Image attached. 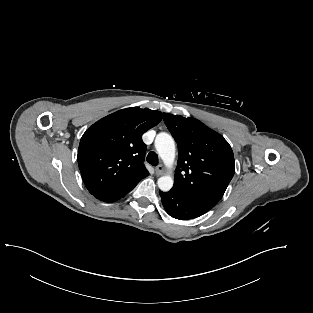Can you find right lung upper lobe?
Listing matches in <instances>:
<instances>
[{"label": "right lung upper lobe", "mask_w": 313, "mask_h": 313, "mask_svg": "<svg viewBox=\"0 0 313 313\" xmlns=\"http://www.w3.org/2000/svg\"><path fill=\"white\" fill-rule=\"evenodd\" d=\"M162 116L160 111L131 107L102 118L86 130L79 144L78 165L92 195L148 176L142 135Z\"/></svg>", "instance_id": "obj_1"}]
</instances>
